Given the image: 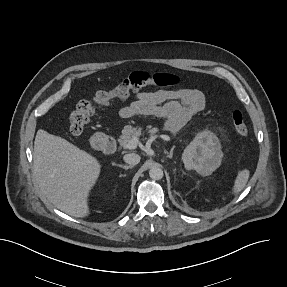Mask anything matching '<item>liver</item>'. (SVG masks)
Segmentation results:
<instances>
[{"instance_id":"1","label":"liver","mask_w":287,"mask_h":287,"mask_svg":"<svg viewBox=\"0 0 287 287\" xmlns=\"http://www.w3.org/2000/svg\"><path fill=\"white\" fill-rule=\"evenodd\" d=\"M34 173L43 195L73 217L90 214L88 197L101 171L99 161L66 139L37 131Z\"/></svg>"}]
</instances>
